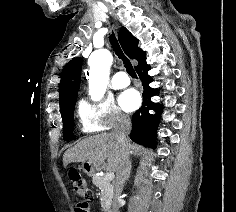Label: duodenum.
I'll return each instance as SVG.
<instances>
[{
  "instance_id": "obj_1",
  "label": "duodenum",
  "mask_w": 236,
  "mask_h": 212,
  "mask_svg": "<svg viewBox=\"0 0 236 212\" xmlns=\"http://www.w3.org/2000/svg\"><path fill=\"white\" fill-rule=\"evenodd\" d=\"M108 212H117L116 209L111 208Z\"/></svg>"
}]
</instances>
